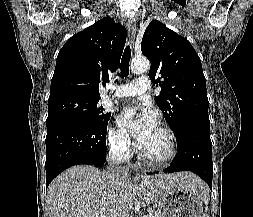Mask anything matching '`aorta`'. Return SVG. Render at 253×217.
Wrapping results in <instances>:
<instances>
[{
    "label": "aorta",
    "instance_id": "obj_1",
    "mask_svg": "<svg viewBox=\"0 0 253 217\" xmlns=\"http://www.w3.org/2000/svg\"><path fill=\"white\" fill-rule=\"evenodd\" d=\"M130 68L134 74H142L149 70L150 62L146 58H134Z\"/></svg>",
    "mask_w": 253,
    "mask_h": 217
}]
</instances>
